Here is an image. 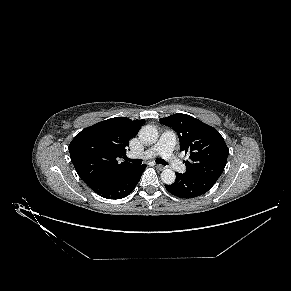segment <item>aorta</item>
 I'll use <instances>...</instances> for the list:
<instances>
[{
  "label": "aorta",
  "mask_w": 291,
  "mask_h": 291,
  "mask_svg": "<svg viewBox=\"0 0 291 291\" xmlns=\"http://www.w3.org/2000/svg\"><path fill=\"white\" fill-rule=\"evenodd\" d=\"M159 137L158 130L152 125H145L139 132V139L146 144H154ZM176 175L171 169H164L161 173V180L167 185L175 182Z\"/></svg>",
  "instance_id": "762f6f07"
}]
</instances>
